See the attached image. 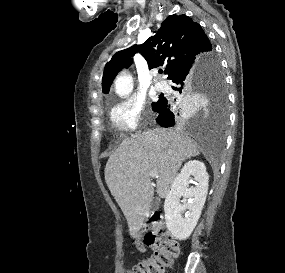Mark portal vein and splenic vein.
Masks as SVG:
<instances>
[{
  "mask_svg": "<svg viewBox=\"0 0 285 273\" xmlns=\"http://www.w3.org/2000/svg\"><path fill=\"white\" fill-rule=\"evenodd\" d=\"M150 176L153 178H158V172L155 170L150 171Z\"/></svg>",
  "mask_w": 285,
  "mask_h": 273,
  "instance_id": "1",
  "label": "portal vein and splenic vein"
}]
</instances>
